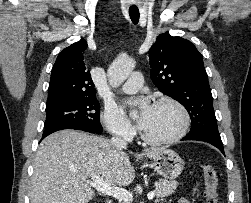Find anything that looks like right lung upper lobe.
Listing matches in <instances>:
<instances>
[{"label": "right lung upper lobe", "instance_id": "right-lung-upper-lobe-1", "mask_svg": "<svg viewBox=\"0 0 251 203\" xmlns=\"http://www.w3.org/2000/svg\"><path fill=\"white\" fill-rule=\"evenodd\" d=\"M84 39L62 50L52 68L46 107L96 97L95 85L83 61Z\"/></svg>", "mask_w": 251, "mask_h": 203}]
</instances>
